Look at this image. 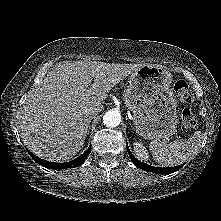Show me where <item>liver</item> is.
I'll return each mask as SVG.
<instances>
[{"label":"liver","mask_w":221,"mask_h":221,"mask_svg":"<svg viewBox=\"0 0 221 221\" xmlns=\"http://www.w3.org/2000/svg\"><path fill=\"white\" fill-rule=\"evenodd\" d=\"M142 66L97 61L57 65L23 105L19 115L23 143L49 161L72 159L85 142L89 109L101 111L109 91Z\"/></svg>","instance_id":"1"}]
</instances>
